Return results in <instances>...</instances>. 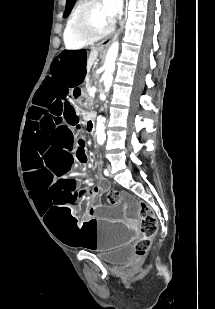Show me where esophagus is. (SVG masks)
I'll return each mask as SVG.
<instances>
[{
  "label": "esophagus",
  "instance_id": "1",
  "mask_svg": "<svg viewBox=\"0 0 215 309\" xmlns=\"http://www.w3.org/2000/svg\"><path fill=\"white\" fill-rule=\"evenodd\" d=\"M123 29V24L121 25L120 29L115 33V35L109 39H106V40H103V42H100L98 44V47L99 48H107L108 45L111 43V41H113L115 38L118 37V35L120 34V32L122 31Z\"/></svg>",
  "mask_w": 215,
  "mask_h": 309
}]
</instances>
